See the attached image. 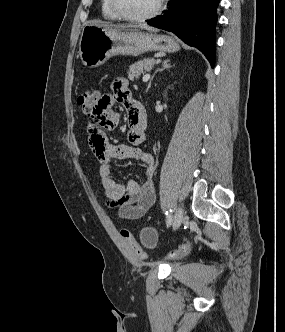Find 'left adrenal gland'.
<instances>
[{
    "label": "left adrenal gland",
    "mask_w": 285,
    "mask_h": 332,
    "mask_svg": "<svg viewBox=\"0 0 285 332\" xmlns=\"http://www.w3.org/2000/svg\"><path fill=\"white\" fill-rule=\"evenodd\" d=\"M170 67H171L170 59H166V60H164V61L162 62V66H161V68H158V69L154 72V74L152 75V77L150 78V81H149V83H148V85H147V91H148L149 88L151 87V82H152L154 76L156 75V73L159 72V71H163L164 69H168V68H170Z\"/></svg>",
    "instance_id": "1"
}]
</instances>
